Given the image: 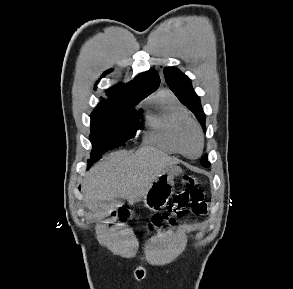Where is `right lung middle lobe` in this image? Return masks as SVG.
I'll list each match as a JSON object with an SVG mask.
<instances>
[{
	"mask_svg": "<svg viewBox=\"0 0 293 289\" xmlns=\"http://www.w3.org/2000/svg\"><path fill=\"white\" fill-rule=\"evenodd\" d=\"M140 100H129L98 106L91 116L90 141L93 145L90 162L106 151L120 147L133 138L139 129L142 111L132 112Z\"/></svg>",
	"mask_w": 293,
	"mask_h": 289,
	"instance_id": "obj_1",
	"label": "right lung middle lobe"
}]
</instances>
